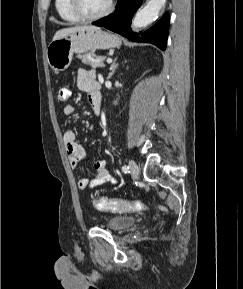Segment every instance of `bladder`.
<instances>
[{
	"label": "bladder",
	"instance_id": "obj_1",
	"mask_svg": "<svg viewBox=\"0 0 243 289\" xmlns=\"http://www.w3.org/2000/svg\"><path fill=\"white\" fill-rule=\"evenodd\" d=\"M137 219L129 215H115L107 218L105 226L114 231H120L133 226Z\"/></svg>",
	"mask_w": 243,
	"mask_h": 289
}]
</instances>
